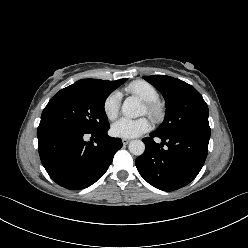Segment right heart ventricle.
Listing matches in <instances>:
<instances>
[{"label":"right heart ventricle","mask_w":248,"mask_h":248,"mask_svg":"<svg viewBox=\"0 0 248 248\" xmlns=\"http://www.w3.org/2000/svg\"><path fill=\"white\" fill-rule=\"evenodd\" d=\"M125 91L130 93L145 103L157 102L159 100V93L157 89L147 81L136 80L129 83L125 87Z\"/></svg>","instance_id":"e07e8e85"}]
</instances>
